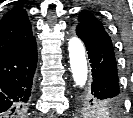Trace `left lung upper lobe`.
Segmentation results:
<instances>
[{"label": "left lung upper lobe", "instance_id": "5c2ea615", "mask_svg": "<svg viewBox=\"0 0 133 118\" xmlns=\"http://www.w3.org/2000/svg\"><path fill=\"white\" fill-rule=\"evenodd\" d=\"M79 24L77 26H84L95 32L106 33V30L101 21H99L92 13L88 11H82L78 18ZM121 101L112 99L96 101L90 94L89 90H82L77 98L76 108L82 116H92L96 114H106L109 112H115L119 109Z\"/></svg>", "mask_w": 133, "mask_h": 118}]
</instances>
